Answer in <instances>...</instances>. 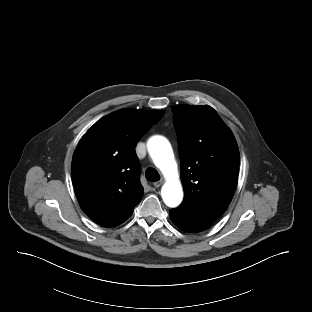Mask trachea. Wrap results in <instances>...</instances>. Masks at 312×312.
I'll use <instances>...</instances> for the list:
<instances>
[{
  "instance_id": "3493384b",
  "label": "trachea",
  "mask_w": 312,
  "mask_h": 312,
  "mask_svg": "<svg viewBox=\"0 0 312 312\" xmlns=\"http://www.w3.org/2000/svg\"><path fill=\"white\" fill-rule=\"evenodd\" d=\"M146 179L151 182H156L160 179V175L154 168H148L145 172Z\"/></svg>"
}]
</instances>
